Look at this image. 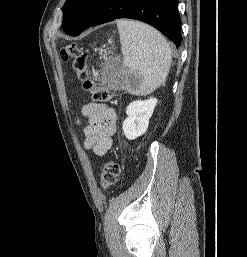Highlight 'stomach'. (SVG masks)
<instances>
[{
    "label": "stomach",
    "instance_id": "stomach-1",
    "mask_svg": "<svg viewBox=\"0 0 247 257\" xmlns=\"http://www.w3.org/2000/svg\"><path fill=\"white\" fill-rule=\"evenodd\" d=\"M134 78L131 77L127 69L122 68L119 77L115 80L120 87L129 89L133 86Z\"/></svg>",
    "mask_w": 247,
    "mask_h": 257
}]
</instances>
